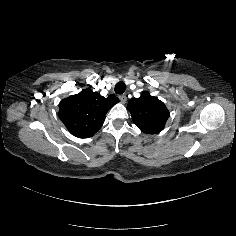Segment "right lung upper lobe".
I'll use <instances>...</instances> for the list:
<instances>
[{"label":"right lung upper lobe","instance_id":"obj_1","mask_svg":"<svg viewBox=\"0 0 236 236\" xmlns=\"http://www.w3.org/2000/svg\"><path fill=\"white\" fill-rule=\"evenodd\" d=\"M119 102L115 95L107 98L91 89L63 99L59 104V118L78 138L93 136L103 125L108 110Z\"/></svg>","mask_w":236,"mask_h":236}]
</instances>
